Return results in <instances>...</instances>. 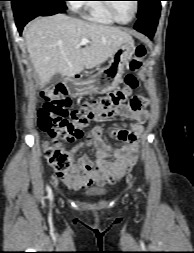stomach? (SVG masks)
I'll return each mask as SVG.
<instances>
[{"mask_svg":"<svg viewBox=\"0 0 194 253\" xmlns=\"http://www.w3.org/2000/svg\"><path fill=\"white\" fill-rule=\"evenodd\" d=\"M133 45L124 43L111 56L109 65L88 79L70 78L68 89L73 96L103 94L114 90L121 81L124 66L132 55Z\"/></svg>","mask_w":194,"mask_h":253,"instance_id":"0dacf381","label":"stomach"}]
</instances>
